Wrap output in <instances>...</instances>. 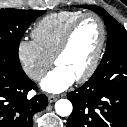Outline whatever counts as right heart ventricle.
Listing matches in <instances>:
<instances>
[{
    "instance_id": "e07e8e85",
    "label": "right heart ventricle",
    "mask_w": 127,
    "mask_h": 127,
    "mask_svg": "<svg viewBox=\"0 0 127 127\" xmlns=\"http://www.w3.org/2000/svg\"><path fill=\"white\" fill-rule=\"evenodd\" d=\"M83 12L61 11L40 19L33 27L31 35L42 52L53 58L65 32Z\"/></svg>"
}]
</instances>
